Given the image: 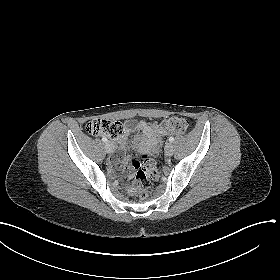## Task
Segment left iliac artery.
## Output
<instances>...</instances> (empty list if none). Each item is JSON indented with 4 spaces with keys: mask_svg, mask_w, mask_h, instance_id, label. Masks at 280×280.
Listing matches in <instances>:
<instances>
[{
    "mask_svg": "<svg viewBox=\"0 0 280 280\" xmlns=\"http://www.w3.org/2000/svg\"><path fill=\"white\" fill-rule=\"evenodd\" d=\"M173 141H174V137L173 136L169 137V142H173Z\"/></svg>",
    "mask_w": 280,
    "mask_h": 280,
    "instance_id": "1",
    "label": "left iliac artery"
}]
</instances>
